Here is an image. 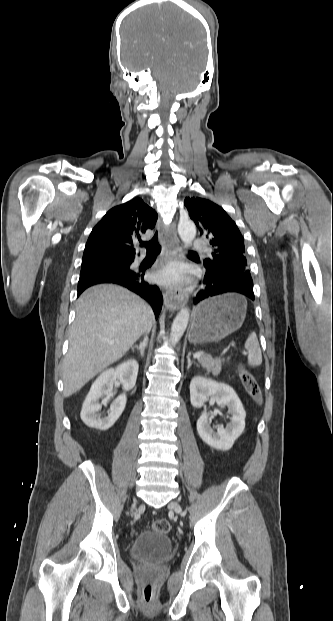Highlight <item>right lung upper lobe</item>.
I'll return each mask as SVG.
<instances>
[{
	"mask_svg": "<svg viewBox=\"0 0 333 621\" xmlns=\"http://www.w3.org/2000/svg\"><path fill=\"white\" fill-rule=\"evenodd\" d=\"M157 214L141 198L115 206L93 228L87 240L83 259L134 258L133 248L140 236L153 229Z\"/></svg>",
	"mask_w": 333,
	"mask_h": 621,
	"instance_id": "cb5924a9",
	"label": "right lung upper lobe"
}]
</instances>
